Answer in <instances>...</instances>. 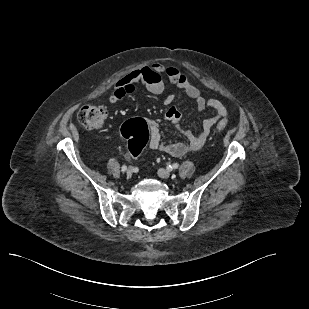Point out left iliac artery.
Returning <instances> with one entry per match:
<instances>
[{
  "mask_svg": "<svg viewBox=\"0 0 309 309\" xmlns=\"http://www.w3.org/2000/svg\"><path fill=\"white\" fill-rule=\"evenodd\" d=\"M179 167V164L178 163H174V164H172V165H169L167 168L169 169V170H173V169H177Z\"/></svg>",
  "mask_w": 309,
  "mask_h": 309,
  "instance_id": "1",
  "label": "left iliac artery"
}]
</instances>
